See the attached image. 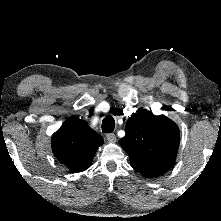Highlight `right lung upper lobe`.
Returning <instances> with one entry per match:
<instances>
[{"label": "right lung upper lobe", "mask_w": 221, "mask_h": 221, "mask_svg": "<svg viewBox=\"0 0 221 221\" xmlns=\"http://www.w3.org/2000/svg\"><path fill=\"white\" fill-rule=\"evenodd\" d=\"M103 138L79 118L67 119L52 136L56 158L73 172L89 168Z\"/></svg>", "instance_id": "1"}]
</instances>
